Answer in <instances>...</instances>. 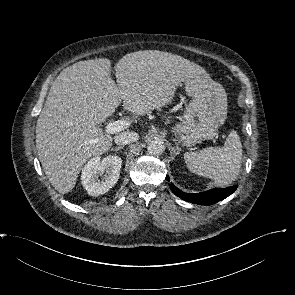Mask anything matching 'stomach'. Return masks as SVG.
Masks as SVG:
<instances>
[{"label":"stomach","instance_id":"0dacf381","mask_svg":"<svg viewBox=\"0 0 295 295\" xmlns=\"http://www.w3.org/2000/svg\"><path fill=\"white\" fill-rule=\"evenodd\" d=\"M185 91L192 100L172 130L179 143L191 147L214 138L226 118L227 95L219 83L204 75L185 80Z\"/></svg>","mask_w":295,"mask_h":295}]
</instances>
